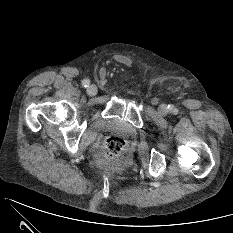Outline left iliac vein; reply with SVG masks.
I'll use <instances>...</instances> for the list:
<instances>
[{
  "label": "left iliac vein",
  "mask_w": 233,
  "mask_h": 233,
  "mask_svg": "<svg viewBox=\"0 0 233 233\" xmlns=\"http://www.w3.org/2000/svg\"><path fill=\"white\" fill-rule=\"evenodd\" d=\"M158 110L161 115H166L168 113V107L166 104H161Z\"/></svg>",
  "instance_id": "4c4485c4"
}]
</instances>
